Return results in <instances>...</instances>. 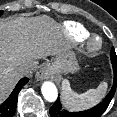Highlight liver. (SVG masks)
Listing matches in <instances>:
<instances>
[{
	"label": "liver",
	"instance_id": "liver-1",
	"mask_svg": "<svg viewBox=\"0 0 117 117\" xmlns=\"http://www.w3.org/2000/svg\"><path fill=\"white\" fill-rule=\"evenodd\" d=\"M69 50L59 24L48 16L0 20V103L23 77L22 66Z\"/></svg>",
	"mask_w": 117,
	"mask_h": 117
}]
</instances>
